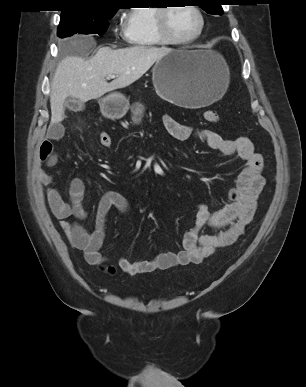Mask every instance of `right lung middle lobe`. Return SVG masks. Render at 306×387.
I'll return each mask as SVG.
<instances>
[{
  "instance_id": "right-lung-middle-lobe-1",
  "label": "right lung middle lobe",
  "mask_w": 306,
  "mask_h": 387,
  "mask_svg": "<svg viewBox=\"0 0 306 387\" xmlns=\"http://www.w3.org/2000/svg\"><path fill=\"white\" fill-rule=\"evenodd\" d=\"M117 10H105L96 13H66L61 15L58 37L64 38L75 33L98 34L102 36Z\"/></svg>"
}]
</instances>
